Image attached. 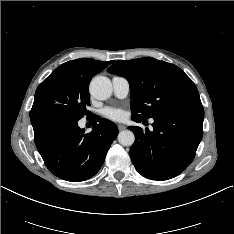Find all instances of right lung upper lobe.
Here are the masks:
<instances>
[{"label":"right lung upper lobe","mask_w":234,"mask_h":234,"mask_svg":"<svg viewBox=\"0 0 234 234\" xmlns=\"http://www.w3.org/2000/svg\"><path fill=\"white\" fill-rule=\"evenodd\" d=\"M112 62H102L91 58L71 60L56 68L46 79L56 76H68L88 85L94 75Z\"/></svg>","instance_id":"1"}]
</instances>
